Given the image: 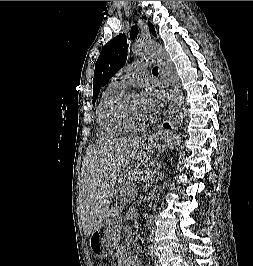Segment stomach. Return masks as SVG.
Returning a JSON list of instances; mask_svg holds the SVG:
<instances>
[{"label": "stomach", "instance_id": "stomach-1", "mask_svg": "<svg viewBox=\"0 0 253 266\" xmlns=\"http://www.w3.org/2000/svg\"><path fill=\"white\" fill-rule=\"evenodd\" d=\"M157 146L158 141L143 143L137 151V158H148ZM121 223L120 212L111 207L101 225L90 236V249L96 257L105 258L115 251L121 237Z\"/></svg>", "mask_w": 253, "mask_h": 266}]
</instances>
